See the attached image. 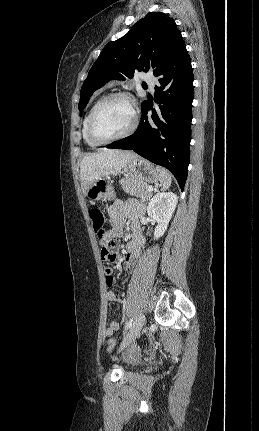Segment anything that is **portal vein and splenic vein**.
Segmentation results:
<instances>
[{
    "label": "portal vein and splenic vein",
    "mask_w": 259,
    "mask_h": 431,
    "mask_svg": "<svg viewBox=\"0 0 259 431\" xmlns=\"http://www.w3.org/2000/svg\"><path fill=\"white\" fill-rule=\"evenodd\" d=\"M148 191H149V192H152V191H153V188H152L151 186H149V187H148Z\"/></svg>",
    "instance_id": "portal-vein-and-splenic-vein-1"
}]
</instances>
